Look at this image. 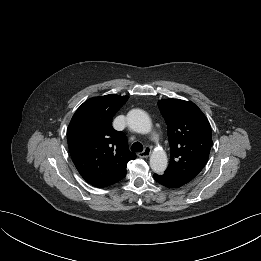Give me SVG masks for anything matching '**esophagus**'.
<instances>
[{
  "mask_svg": "<svg viewBox=\"0 0 261 261\" xmlns=\"http://www.w3.org/2000/svg\"><path fill=\"white\" fill-rule=\"evenodd\" d=\"M150 154H151V149H150L149 147H146V148L144 149V151H142V152H140V153L138 154V156H139V157H142V158H146V157H149Z\"/></svg>",
  "mask_w": 261,
  "mask_h": 261,
  "instance_id": "34e87169",
  "label": "esophagus"
}]
</instances>
